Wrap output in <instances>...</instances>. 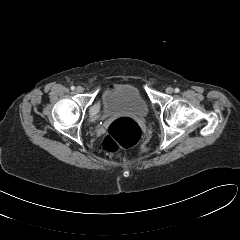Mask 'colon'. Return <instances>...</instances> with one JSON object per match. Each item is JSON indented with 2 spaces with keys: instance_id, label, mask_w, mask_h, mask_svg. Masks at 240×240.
<instances>
[{
  "instance_id": "obj_1",
  "label": "colon",
  "mask_w": 240,
  "mask_h": 240,
  "mask_svg": "<svg viewBox=\"0 0 240 240\" xmlns=\"http://www.w3.org/2000/svg\"><path fill=\"white\" fill-rule=\"evenodd\" d=\"M141 138L140 126L130 118H119L113 121L101 140L105 152H114L134 146Z\"/></svg>"
}]
</instances>
